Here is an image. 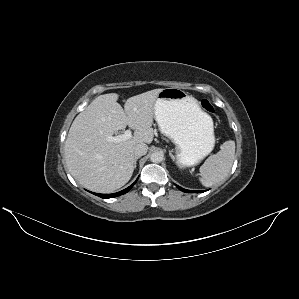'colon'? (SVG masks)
I'll use <instances>...</instances> for the list:
<instances>
[{"label":"colon","instance_id":"5ec220e1","mask_svg":"<svg viewBox=\"0 0 299 299\" xmlns=\"http://www.w3.org/2000/svg\"><path fill=\"white\" fill-rule=\"evenodd\" d=\"M201 106L202 108L208 112V113H214V107L213 105L210 103V101H208L207 99H202L201 100Z\"/></svg>","mask_w":299,"mask_h":299}]
</instances>
